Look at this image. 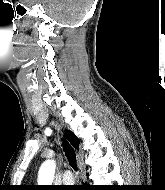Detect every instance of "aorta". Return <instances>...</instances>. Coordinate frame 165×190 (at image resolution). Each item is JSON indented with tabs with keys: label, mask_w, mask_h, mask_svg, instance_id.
I'll return each mask as SVG.
<instances>
[{
	"label": "aorta",
	"mask_w": 165,
	"mask_h": 190,
	"mask_svg": "<svg viewBox=\"0 0 165 190\" xmlns=\"http://www.w3.org/2000/svg\"><path fill=\"white\" fill-rule=\"evenodd\" d=\"M55 162L48 160L43 163L40 169L39 181L43 184H51L55 173Z\"/></svg>",
	"instance_id": "762f6f07"
}]
</instances>
